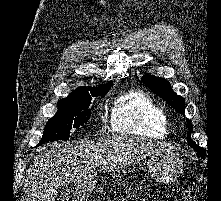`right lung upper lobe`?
I'll use <instances>...</instances> for the list:
<instances>
[{
  "instance_id": "right-lung-upper-lobe-1",
  "label": "right lung upper lobe",
  "mask_w": 221,
  "mask_h": 201,
  "mask_svg": "<svg viewBox=\"0 0 221 201\" xmlns=\"http://www.w3.org/2000/svg\"><path fill=\"white\" fill-rule=\"evenodd\" d=\"M112 84V81H110L106 85H100L99 87H89V91L86 87H81L73 91L72 94L69 95L67 98H81L98 92L109 91Z\"/></svg>"
}]
</instances>
